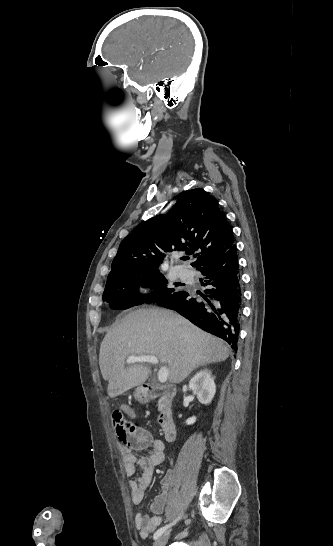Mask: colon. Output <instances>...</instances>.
<instances>
[{
  "mask_svg": "<svg viewBox=\"0 0 333 546\" xmlns=\"http://www.w3.org/2000/svg\"><path fill=\"white\" fill-rule=\"evenodd\" d=\"M112 423L121 444H130V434L134 430V426L124 417L120 410H115L112 414Z\"/></svg>",
  "mask_w": 333,
  "mask_h": 546,
  "instance_id": "5ec220e1",
  "label": "colon"
}]
</instances>
